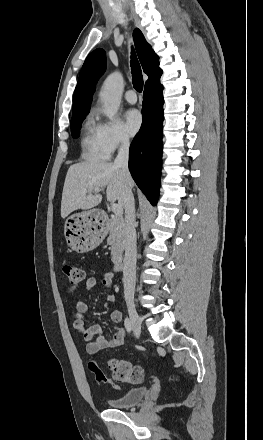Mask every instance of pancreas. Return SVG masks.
Masks as SVG:
<instances>
[{"label":"pancreas","instance_id":"1","mask_svg":"<svg viewBox=\"0 0 263 440\" xmlns=\"http://www.w3.org/2000/svg\"><path fill=\"white\" fill-rule=\"evenodd\" d=\"M125 222L122 217H113L109 222V237L107 242L111 245V260L114 264L121 260L124 250Z\"/></svg>","mask_w":263,"mask_h":440}]
</instances>
